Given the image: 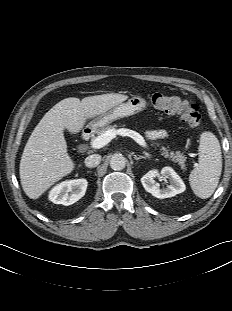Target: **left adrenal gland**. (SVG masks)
I'll list each match as a JSON object with an SVG mask.
<instances>
[{
    "instance_id": "left-adrenal-gland-1",
    "label": "left adrenal gland",
    "mask_w": 232,
    "mask_h": 311,
    "mask_svg": "<svg viewBox=\"0 0 232 311\" xmlns=\"http://www.w3.org/2000/svg\"><path fill=\"white\" fill-rule=\"evenodd\" d=\"M146 158H147L146 156H141V155L137 156V155H134V159H135V160L146 159Z\"/></svg>"
}]
</instances>
